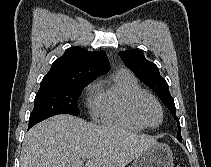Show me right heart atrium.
<instances>
[{
    "label": "right heart atrium",
    "instance_id": "right-heart-atrium-1",
    "mask_svg": "<svg viewBox=\"0 0 211 167\" xmlns=\"http://www.w3.org/2000/svg\"><path fill=\"white\" fill-rule=\"evenodd\" d=\"M87 91L89 93V95L92 97L93 95L96 94L97 91V85L95 83H91L88 87H87ZM94 104V103H93ZM92 104V105H93Z\"/></svg>",
    "mask_w": 211,
    "mask_h": 167
}]
</instances>
